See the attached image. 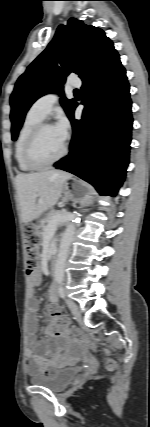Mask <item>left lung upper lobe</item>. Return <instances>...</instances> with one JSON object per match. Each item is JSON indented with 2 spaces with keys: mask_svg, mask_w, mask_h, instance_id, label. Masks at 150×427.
I'll use <instances>...</instances> for the list:
<instances>
[{
  "mask_svg": "<svg viewBox=\"0 0 150 427\" xmlns=\"http://www.w3.org/2000/svg\"><path fill=\"white\" fill-rule=\"evenodd\" d=\"M113 49L112 41L97 27L75 18L67 25H60L46 49L16 82L10 97L12 140L17 139L26 112L39 97L53 92L63 95V84L69 74L75 73L83 80ZM75 103L74 99L61 97L68 117Z\"/></svg>",
  "mask_w": 150,
  "mask_h": 427,
  "instance_id": "1",
  "label": "left lung upper lobe"
}]
</instances>
